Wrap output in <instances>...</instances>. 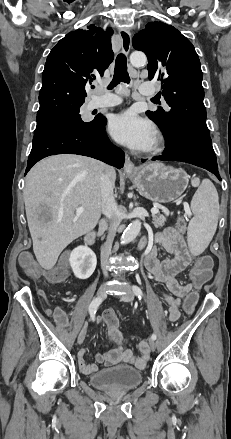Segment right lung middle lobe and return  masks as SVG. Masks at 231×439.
<instances>
[{
    "instance_id": "right-lung-middle-lobe-1",
    "label": "right lung middle lobe",
    "mask_w": 231,
    "mask_h": 439,
    "mask_svg": "<svg viewBox=\"0 0 231 439\" xmlns=\"http://www.w3.org/2000/svg\"><path fill=\"white\" fill-rule=\"evenodd\" d=\"M96 122L97 118L91 122H84L81 119L80 110L77 108L37 119V126L34 134L59 127L87 129L95 125Z\"/></svg>"
}]
</instances>
